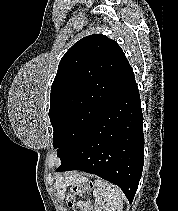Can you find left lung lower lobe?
Listing matches in <instances>:
<instances>
[{"mask_svg":"<svg viewBox=\"0 0 178 211\" xmlns=\"http://www.w3.org/2000/svg\"><path fill=\"white\" fill-rule=\"evenodd\" d=\"M140 95L129 66L94 126L57 172L81 170L118 185L133 201L144 163Z\"/></svg>","mask_w":178,"mask_h":211,"instance_id":"1","label":"left lung lower lobe"}]
</instances>
